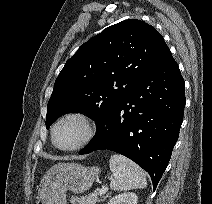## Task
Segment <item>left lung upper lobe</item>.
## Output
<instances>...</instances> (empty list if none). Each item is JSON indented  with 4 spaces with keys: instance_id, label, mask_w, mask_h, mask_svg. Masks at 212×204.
<instances>
[{
    "instance_id": "1",
    "label": "left lung upper lobe",
    "mask_w": 212,
    "mask_h": 204,
    "mask_svg": "<svg viewBox=\"0 0 212 204\" xmlns=\"http://www.w3.org/2000/svg\"><path fill=\"white\" fill-rule=\"evenodd\" d=\"M169 48L156 29L136 19L106 28L84 43L58 75L46 128L67 112H83L96 126L142 80Z\"/></svg>"
}]
</instances>
